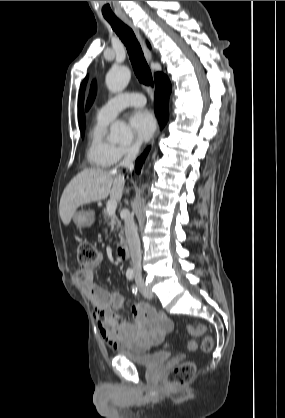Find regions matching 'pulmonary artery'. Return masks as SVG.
Returning a JSON list of instances; mask_svg holds the SVG:
<instances>
[{
    "mask_svg": "<svg viewBox=\"0 0 285 418\" xmlns=\"http://www.w3.org/2000/svg\"><path fill=\"white\" fill-rule=\"evenodd\" d=\"M146 99L139 93H123L111 98L97 110V118L103 121H111L123 109L129 106H142Z\"/></svg>",
    "mask_w": 285,
    "mask_h": 418,
    "instance_id": "e3ab8cb5",
    "label": "pulmonary artery"
}]
</instances>
